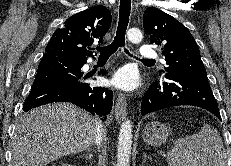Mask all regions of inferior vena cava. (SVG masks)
<instances>
[{
    "label": "inferior vena cava",
    "mask_w": 231,
    "mask_h": 166,
    "mask_svg": "<svg viewBox=\"0 0 231 166\" xmlns=\"http://www.w3.org/2000/svg\"><path fill=\"white\" fill-rule=\"evenodd\" d=\"M102 140H103L102 124L99 122L97 124V133L95 137V143L98 147L101 145Z\"/></svg>",
    "instance_id": "obj_1"
}]
</instances>
